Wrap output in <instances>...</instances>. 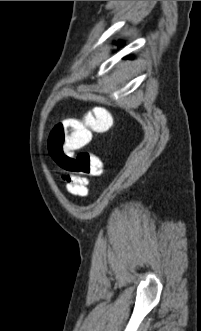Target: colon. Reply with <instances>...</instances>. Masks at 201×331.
Instances as JSON below:
<instances>
[{"instance_id":"1","label":"colon","mask_w":201,"mask_h":331,"mask_svg":"<svg viewBox=\"0 0 201 331\" xmlns=\"http://www.w3.org/2000/svg\"><path fill=\"white\" fill-rule=\"evenodd\" d=\"M113 125V116L105 108L97 107L82 119L66 118L56 123L48 137V152L65 172L100 176L102 160L87 151L74 152L91 141L92 133H103Z\"/></svg>"}]
</instances>
